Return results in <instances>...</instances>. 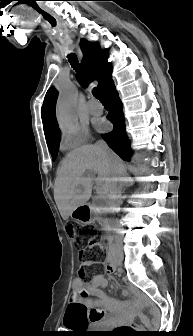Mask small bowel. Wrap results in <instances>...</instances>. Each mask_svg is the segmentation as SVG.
<instances>
[{"instance_id": "small-bowel-1", "label": "small bowel", "mask_w": 193, "mask_h": 336, "mask_svg": "<svg viewBox=\"0 0 193 336\" xmlns=\"http://www.w3.org/2000/svg\"><path fill=\"white\" fill-rule=\"evenodd\" d=\"M107 274H112L114 269L107 262ZM108 281L104 274H96L90 281L80 277L72 283L70 310L65 321L67 327L74 324L91 323L103 327L113 324L129 323L132 310L127 303L119 302L108 296L104 289ZM126 297H131L129 291H124Z\"/></svg>"}]
</instances>
